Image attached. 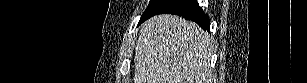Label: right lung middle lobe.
Wrapping results in <instances>:
<instances>
[{
  "label": "right lung middle lobe",
  "mask_w": 307,
  "mask_h": 83,
  "mask_svg": "<svg viewBox=\"0 0 307 83\" xmlns=\"http://www.w3.org/2000/svg\"><path fill=\"white\" fill-rule=\"evenodd\" d=\"M155 1H156V0H151V1H150V3H149V5H148L147 9L145 10V12H144V13L142 14V16H141L140 22L142 21L143 18H145V17L149 14V12H150V10L152 9L153 4L155 3ZM140 22H139V24H140Z\"/></svg>",
  "instance_id": "dd1d6c3e"
}]
</instances>
